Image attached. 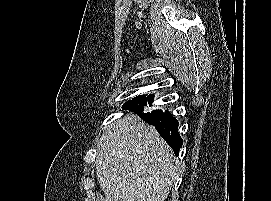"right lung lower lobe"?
Returning <instances> with one entry per match:
<instances>
[{"mask_svg": "<svg viewBox=\"0 0 271 201\" xmlns=\"http://www.w3.org/2000/svg\"><path fill=\"white\" fill-rule=\"evenodd\" d=\"M153 99V95L137 96L124 103L122 108L138 114L144 121L153 125L160 136L171 146L174 153L178 155L182 146V139L178 133V121L168 111L165 113L161 110L146 112L144 106H151Z\"/></svg>", "mask_w": 271, "mask_h": 201, "instance_id": "98d812e1", "label": "right lung lower lobe"}]
</instances>
